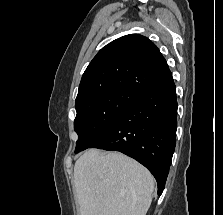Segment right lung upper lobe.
I'll list each match as a JSON object with an SVG mask.
<instances>
[{
    "mask_svg": "<svg viewBox=\"0 0 223 215\" xmlns=\"http://www.w3.org/2000/svg\"><path fill=\"white\" fill-rule=\"evenodd\" d=\"M172 80L166 60L152 41L138 34L126 35L102 48L88 65L75 105L114 90L142 95Z\"/></svg>",
    "mask_w": 223,
    "mask_h": 215,
    "instance_id": "obj_1",
    "label": "right lung upper lobe"
}]
</instances>
